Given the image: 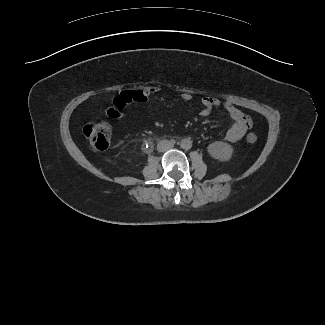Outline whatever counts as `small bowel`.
<instances>
[{
  "label": "small bowel",
  "instance_id": "1",
  "mask_svg": "<svg viewBox=\"0 0 325 325\" xmlns=\"http://www.w3.org/2000/svg\"><path fill=\"white\" fill-rule=\"evenodd\" d=\"M158 91L159 89L154 86L125 91L115 97L113 107L108 108L106 114L112 119L123 118L124 114L121 110L130 109L133 106V103L139 104L146 102L150 96ZM181 99L184 103L188 104L191 102L192 96L189 93H183ZM201 103L203 105L201 111L202 116H209L213 109L220 106H222L227 112L230 119V127L224 135V140L226 142L233 143L239 141L251 126L250 118L231 103L226 102L222 104L219 99L214 97H204L202 98Z\"/></svg>",
  "mask_w": 325,
  "mask_h": 325
}]
</instances>
